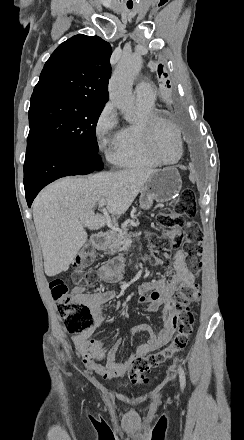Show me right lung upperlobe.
<instances>
[{"instance_id":"obj_1","label":"right lung upper lobe","mask_w":244,"mask_h":440,"mask_svg":"<svg viewBox=\"0 0 244 440\" xmlns=\"http://www.w3.org/2000/svg\"><path fill=\"white\" fill-rule=\"evenodd\" d=\"M111 46L98 36L76 35L46 62L31 100H108Z\"/></svg>"}]
</instances>
